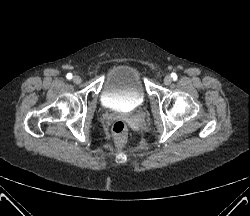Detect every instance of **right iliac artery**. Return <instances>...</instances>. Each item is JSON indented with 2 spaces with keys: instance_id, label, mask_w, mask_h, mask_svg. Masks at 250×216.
Here are the masks:
<instances>
[{
  "instance_id": "1",
  "label": "right iliac artery",
  "mask_w": 250,
  "mask_h": 216,
  "mask_svg": "<svg viewBox=\"0 0 250 216\" xmlns=\"http://www.w3.org/2000/svg\"><path fill=\"white\" fill-rule=\"evenodd\" d=\"M66 77H67V79H72V74L71 73H68L67 75H66Z\"/></svg>"
}]
</instances>
